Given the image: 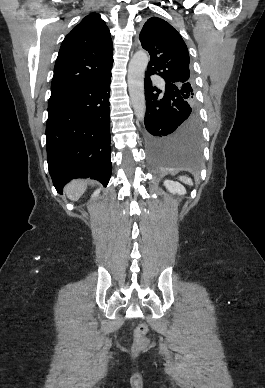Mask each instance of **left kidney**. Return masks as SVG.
<instances>
[{
  "instance_id": "1",
  "label": "left kidney",
  "mask_w": 265,
  "mask_h": 388,
  "mask_svg": "<svg viewBox=\"0 0 265 388\" xmlns=\"http://www.w3.org/2000/svg\"><path fill=\"white\" fill-rule=\"evenodd\" d=\"M164 186L165 188H167L170 194H179V196H184V194H186L184 186H181V184H178V182H171V180H165Z\"/></svg>"
}]
</instances>
